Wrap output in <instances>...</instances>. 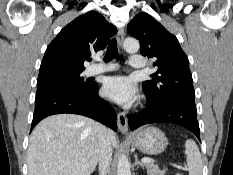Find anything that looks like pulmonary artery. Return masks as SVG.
<instances>
[{
  "label": "pulmonary artery",
  "instance_id": "e3ab8cb5",
  "mask_svg": "<svg viewBox=\"0 0 233 175\" xmlns=\"http://www.w3.org/2000/svg\"><path fill=\"white\" fill-rule=\"evenodd\" d=\"M130 66L133 69H142L146 66L145 60L141 55H132L129 60ZM116 68L115 64H99V65H92L87 69L88 75H96L102 72L114 70Z\"/></svg>",
  "mask_w": 233,
  "mask_h": 175
}]
</instances>
